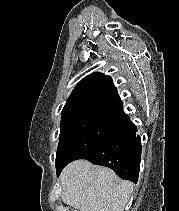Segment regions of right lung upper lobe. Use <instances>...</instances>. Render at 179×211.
Here are the masks:
<instances>
[{
  "label": "right lung upper lobe",
  "instance_id": "cb5924a9",
  "mask_svg": "<svg viewBox=\"0 0 179 211\" xmlns=\"http://www.w3.org/2000/svg\"><path fill=\"white\" fill-rule=\"evenodd\" d=\"M110 76L94 72L79 82L69 96L62 117L88 111L123 112Z\"/></svg>",
  "mask_w": 179,
  "mask_h": 211
}]
</instances>
